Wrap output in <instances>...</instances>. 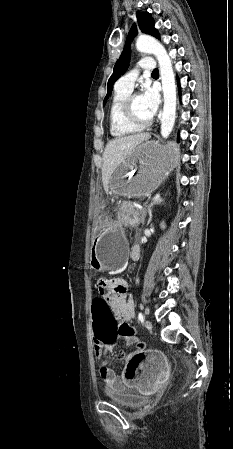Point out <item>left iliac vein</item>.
I'll list each match as a JSON object with an SVG mask.
<instances>
[{
	"label": "left iliac vein",
	"instance_id": "left-iliac-vein-1",
	"mask_svg": "<svg viewBox=\"0 0 233 449\" xmlns=\"http://www.w3.org/2000/svg\"><path fill=\"white\" fill-rule=\"evenodd\" d=\"M145 327L149 330L152 329V323L150 320H145Z\"/></svg>",
	"mask_w": 233,
	"mask_h": 449
}]
</instances>
